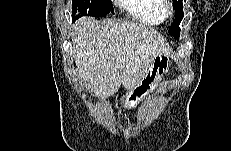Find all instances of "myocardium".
Listing matches in <instances>:
<instances>
[{
  "label": "myocardium",
  "instance_id": "obj_1",
  "mask_svg": "<svg viewBox=\"0 0 231 151\" xmlns=\"http://www.w3.org/2000/svg\"><path fill=\"white\" fill-rule=\"evenodd\" d=\"M163 15L168 17L173 14V8L170 1H163V8H162Z\"/></svg>",
  "mask_w": 231,
  "mask_h": 151
}]
</instances>
